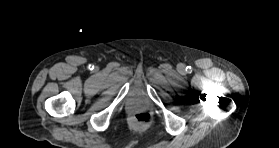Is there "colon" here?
Listing matches in <instances>:
<instances>
[{
  "label": "colon",
  "instance_id": "colon-1",
  "mask_svg": "<svg viewBox=\"0 0 279 148\" xmlns=\"http://www.w3.org/2000/svg\"><path fill=\"white\" fill-rule=\"evenodd\" d=\"M133 121L138 124H148L151 121V116L148 113H137L132 116Z\"/></svg>",
  "mask_w": 279,
  "mask_h": 148
}]
</instances>
